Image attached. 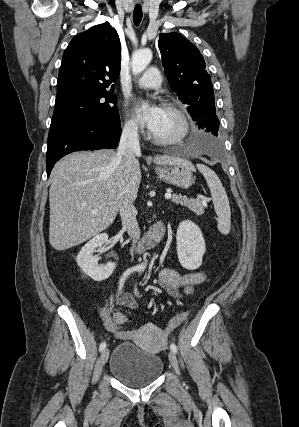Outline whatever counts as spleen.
<instances>
[{
  "mask_svg": "<svg viewBox=\"0 0 299 427\" xmlns=\"http://www.w3.org/2000/svg\"><path fill=\"white\" fill-rule=\"evenodd\" d=\"M198 170L203 174L210 189L215 212L218 216V230L227 235L231 227V210L228 196L217 174L208 166L197 164Z\"/></svg>",
  "mask_w": 299,
  "mask_h": 427,
  "instance_id": "3e777b00",
  "label": "spleen"
}]
</instances>
